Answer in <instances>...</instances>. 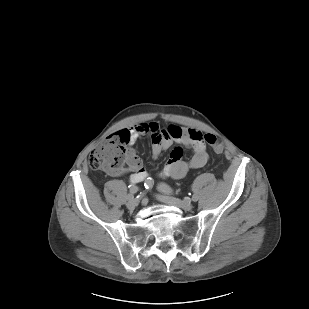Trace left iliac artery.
<instances>
[{
	"label": "left iliac artery",
	"mask_w": 309,
	"mask_h": 309,
	"mask_svg": "<svg viewBox=\"0 0 309 309\" xmlns=\"http://www.w3.org/2000/svg\"><path fill=\"white\" fill-rule=\"evenodd\" d=\"M158 188L160 190H162L163 192H167V193H171L172 192V189L168 185H166V184H160L158 186ZM197 200H198V197L196 195H193L192 196V201H197Z\"/></svg>",
	"instance_id": "left-iliac-artery-1"
}]
</instances>
